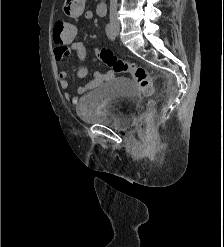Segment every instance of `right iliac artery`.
<instances>
[{
	"label": "right iliac artery",
	"instance_id": "1",
	"mask_svg": "<svg viewBox=\"0 0 224 247\" xmlns=\"http://www.w3.org/2000/svg\"><path fill=\"white\" fill-rule=\"evenodd\" d=\"M105 30H106V34H107L108 38L111 41H114L115 40V37H116V34H115V31H114L113 26L111 24H107Z\"/></svg>",
	"mask_w": 224,
	"mask_h": 247
}]
</instances>
